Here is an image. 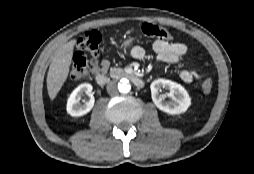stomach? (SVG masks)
Instances as JSON below:
<instances>
[{"label":"stomach","instance_id":"obj_1","mask_svg":"<svg viewBox=\"0 0 254 174\" xmlns=\"http://www.w3.org/2000/svg\"><path fill=\"white\" fill-rule=\"evenodd\" d=\"M132 42H133V39H132V38L126 39V40L123 42L122 46L125 47V48H126V47H129V46H131Z\"/></svg>","mask_w":254,"mask_h":174}]
</instances>
